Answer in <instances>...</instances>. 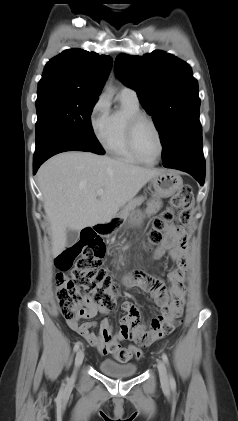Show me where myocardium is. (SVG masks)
Returning <instances> with one entry per match:
<instances>
[{
  "label": "myocardium",
  "instance_id": "obj_1",
  "mask_svg": "<svg viewBox=\"0 0 238 421\" xmlns=\"http://www.w3.org/2000/svg\"><path fill=\"white\" fill-rule=\"evenodd\" d=\"M146 120L148 121L153 128L155 129V132L157 134L158 137V142H159V153L157 155V157L153 160V161H146L144 160L138 153L137 149H136V145H135V134H136V130L138 125L140 124L141 121ZM127 142H128V146L130 148V151L132 152V154L134 155V157L141 163L145 164V165H155L162 157L163 151H164V142H163V137H162V133L160 131V128L158 126V124L156 123V121L153 119L152 116L144 113V112H138L133 114L127 123Z\"/></svg>",
  "mask_w": 238,
  "mask_h": 421
}]
</instances>
